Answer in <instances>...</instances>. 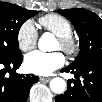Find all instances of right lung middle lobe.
Returning a JSON list of instances; mask_svg holds the SVG:
<instances>
[{
	"label": "right lung middle lobe",
	"instance_id": "right-lung-middle-lobe-1",
	"mask_svg": "<svg viewBox=\"0 0 102 102\" xmlns=\"http://www.w3.org/2000/svg\"><path fill=\"white\" fill-rule=\"evenodd\" d=\"M38 11L27 10L7 2L0 3V59L21 55L18 32L22 24Z\"/></svg>",
	"mask_w": 102,
	"mask_h": 102
}]
</instances>
